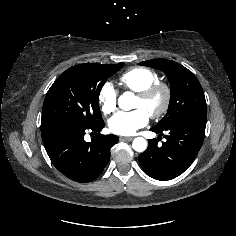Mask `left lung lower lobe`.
I'll return each instance as SVG.
<instances>
[{
	"mask_svg": "<svg viewBox=\"0 0 236 236\" xmlns=\"http://www.w3.org/2000/svg\"><path fill=\"white\" fill-rule=\"evenodd\" d=\"M206 114H195L162 129L151 128L166 139L162 146L149 140L147 150L139 156L143 170L157 180H170L182 174L193 162L205 136ZM159 139V138H158Z\"/></svg>",
	"mask_w": 236,
	"mask_h": 236,
	"instance_id": "1",
	"label": "left lung lower lobe"
}]
</instances>
